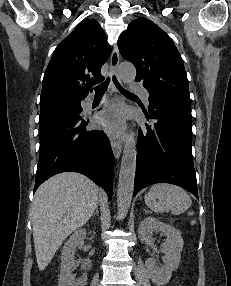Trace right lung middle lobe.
<instances>
[{"label":"right lung middle lobe","mask_w":231,"mask_h":286,"mask_svg":"<svg viewBox=\"0 0 231 286\" xmlns=\"http://www.w3.org/2000/svg\"><path fill=\"white\" fill-rule=\"evenodd\" d=\"M79 114V102H68L41 108L40 125L56 119Z\"/></svg>","instance_id":"obj_1"}]
</instances>
